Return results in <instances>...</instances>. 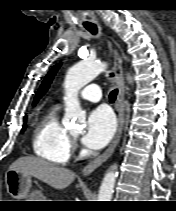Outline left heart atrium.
Segmentation results:
<instances>
[{"instance_id": "39dd6f15", "label": "left heart atrium", "mask_w": 176, "mask_h": 211, "mask_svg": "<svg viewBox=\"0 0 176 211\" xmlns=\"http://www.w3.org/2000/svg\"><path fill=\"white\" fill-rule=\"evenodd\" d=\"M115 127L113 114L107 108L99 107L90 113L82 141L89 148L100 149L111 140Z\"/></svg>"}]
</instances>
